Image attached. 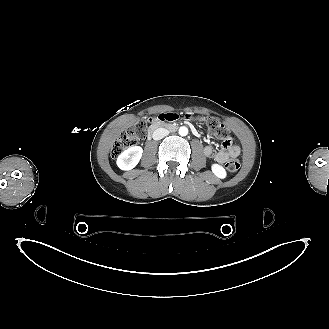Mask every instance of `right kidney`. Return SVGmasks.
<instances>
[{
    "label": "right kidney",
    "instance_id": "obj_1",
    "mask_svg": "<svg viewBox=\"0 0 329 329\" xmlns=\"http://www.w3.org/2000/svg\"><path fill=\"white\" fill-rule=\"evenodd\" d=\"M143 149L140 146H132L123 151L117 158V166L121 170H131L140 161Z\"/></svg>",
    "mask_w": 329,
    "mask_h": 329
}]
</instances>
